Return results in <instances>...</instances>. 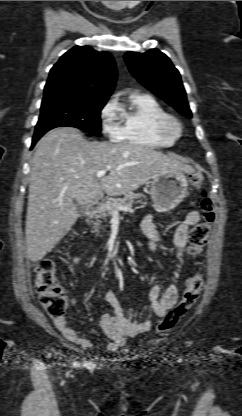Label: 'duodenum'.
<instances>
[{
  "label": "duodenum",
  "mask_w": 242,
  "mask_h": 416,
  "mask_svg": "<svg viewBox=\"0 0 242 416\" xmlns=\"http://www.w3.org/2000/svg\"><path fill=\"white\" fill-rule=\"evenodd\" d=\"M98 208H99V203L97 202L92 203L87 209L86 216L87 217L93 216Z\"/></svg>",
  "instance_id": "1"
}]
</instances>
